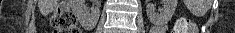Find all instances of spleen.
<instances>
[{
	"label": "spleen",
	"mask_w": 235,
	"mask_h": 33,
	"mask_svg": "<svg viewBox=\"0 0 235 33\" xmlns=\"http://www.w3.org/2000/svg\"><path fill=\"white\" fill-rule=\"evenodd\" d=\"M201 8H203V10L206 11V10L208 9V6H207V5H204V6H202ZM197 13H199V12H197Z\"/></svg>",
	"instance_id": "obj_1"
}]
</instances>
